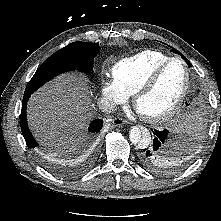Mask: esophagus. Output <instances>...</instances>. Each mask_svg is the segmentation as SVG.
<instances>
[{
	"instance_id": "1",
	"label": "esophagus",
	"mask_w": 221,
	"mask_h": 221,
	"mask_svg": "<svg viewBox=\"0 0 221 221\" xmlns=\"http://www.w3.org/2000/svg\"><path fill=\"white\" fill-rule=\"evenodd\" d=\"M112 123L114 126H122L123 124H126L127 121L120 117H116L112 120Z\"/></svg>"
}]
</instances>
